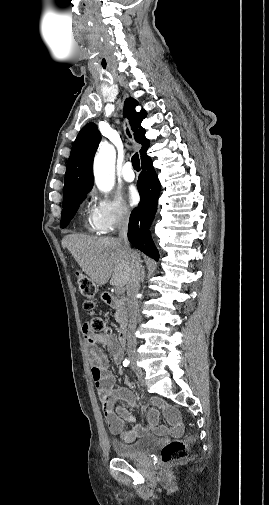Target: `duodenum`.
<instances>
[{
    "label": "duodenum",
    "mask_w": 269,
    "mask_h": 505,
    "mask_svg": "<svg viewBox=\"0 0 269 505\" xmlns=\"http://www.w3.org/2000/svg\"><path fill=\"white\" fill-rule=\"evenodd\" d=\"M102 300L107 306L111 308L121 310L125 308V300L111 293L108 292L103 293ZM127 326H128L127 320L123 318L118 330V341L121 345H125L127 341Z\"/></svg>",
    "instance_id": "duodenum-1"
}]
</instances>
